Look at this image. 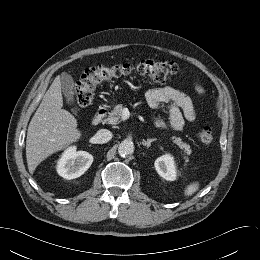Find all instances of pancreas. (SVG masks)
Segmentation results:
<instances>
[{"mask_svg": "<svg viewBox=\"0 0 260 260\" xmlns=\"http://www.w3.org/2000/svg\"><path fill=\"white\" fill-rule=\"evenodd\" d=\"M124 109V106L122 104L116 105L113 110L109 113L108 117L104 120L107 124L116 125L119 123V120L122 115V111ZM172 143L177 145L183 152V158L185 162L189 161V158L186 155L191 154L190 146L187 145L182 141L180 137L172 136L171 137Z\"/></svg>", "mask_w": 260, "mask_h": 260, "instance_id": "pancreas-1", "label": "pancreas"}]
</instances>
